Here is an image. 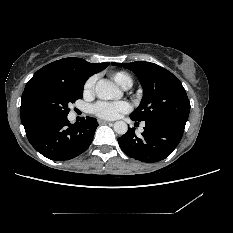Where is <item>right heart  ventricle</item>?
<instances>
[{
    "instance_id": "right-heart-ventricle-1",
    "label": "right heart ventricle",
    "mask_w": 233,
    "mask_h": 233,
    "mask_svg": "<svg viewBox=\"0 0 233 233\" xmlns=\"http://www.w3.org/2000/svg\"><path fill=\"white\" fill-rule=\"evenodd\" d=\"M111 77L114 79V81L117 84H119L123 88L131 86L132 82H133L131 76L123 71L113 72V73H111Z\"/></svg>"
}]
</instances>
